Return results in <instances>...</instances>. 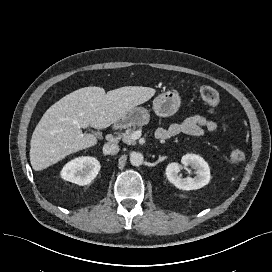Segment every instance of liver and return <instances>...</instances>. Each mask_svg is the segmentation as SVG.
<instances>
[{"mask_svg": "<svg viewBox=\"0 0 272 272\" xmlns=\"http://www.w3.org/2000/svg\"><path fill=\"white\" fill-rule=\"evenodd\" d=\"M155 92L149 87L125 86L105 93L101 87L90 86L64 96L44 113L32 134V168L41 171L69 154L96 145V136L83 134L81 128H107Z\"/></svg>", "mask_w": 272, "mask_h": 272, "instance_id": "1", "label": "liver"}]
</instances>
